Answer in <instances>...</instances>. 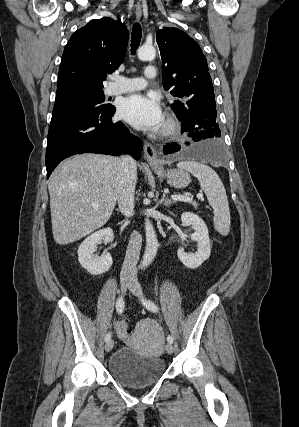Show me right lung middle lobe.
<instances>
[{"label": "right lung middle lobe", "mask_w": 299, "mask_h": 427, "mask_svg": "<svg viewBox=\"0 0 299 427\" xmlns=\"http://www.w3.org/2000/svg\"><path fill=\"white\" fill-rule=\"evenodd\" d=\"M104 102L103 92L92 93L88 95L78 96L64 101L56 102L53 109V114L61 113L63 111L77 108L88 107L96 110H112L114 106L111 104H102Z\"/></svg>", "instance_id": "1"}]
</instances>
